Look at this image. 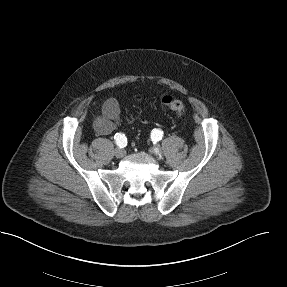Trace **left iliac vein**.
<instances>
[{"label": "left iliac vein", "mask_w": 287, "mask_h": 287, "mask_svg": "<svg viewBox=\"0 0 287 287\" xmlns=\"http://www.w3.org/2000/svg\"><path fill=\"white\" fill-rule=\"evenodd\" d=\"M154 150H155V152H156V154H157L158 156L161 155V151H160L159 145H156V146L154 147Z\"/></svg>", "instance_id": "obj_1"}]
</instances>
